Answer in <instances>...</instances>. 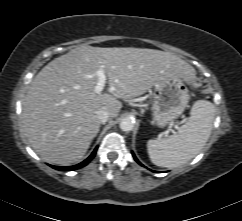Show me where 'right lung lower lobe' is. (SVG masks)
I'll list each match as a JSON object with an SVG mask.
<instances>
[{
    "mask_svg": "<svg viewBox=\"0 0 242 221\" xmlns=\"http://www.w3.org/2000/svg\"><path fill=\"white\" fill-rule=\"evenodd\" d=\"M96 151H97V147L94 149L92 154L86 160H84L83 162H81V163H79L77 165L68 166V167H61V166H53V165H51V167L54 168V169H57V170H62V171H71V170H76V169L82 168V167L86 166L93 159V157L96 154Z\"/></svg>",
    "mask_w": 242,
    "mask_h": 221,
    "instance_id": "right-lung-lower-lobe-1",
    "label": "right lung lower lobe"
}]
</instances>
